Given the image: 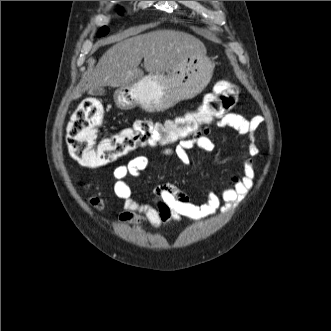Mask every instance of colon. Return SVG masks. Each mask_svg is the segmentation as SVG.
<instances>
[{
	"mask_svg": "<svg viewBox=\"0 0 331 331\" xmlns=\"http://www.w3.org/2000/svg\"><path fill=\"white\" fill-rule=\"evenodd\" d=\"M238 87L230 81L219 82L195 112L163 121L141 119L110 137L96 140L103 123L104 110L99 100L88 98L74 112L68 126L67 145L71 157L89 167H100L138 147L164 146L186 139L206 124L221 119L234 107ZM98 204V200H92Z\"/></svg>",
	"mask_w": 331,
	"mask_h": 331,
	"instance_id": "colon-1",
	"label": "colon"
}]
</instances>
